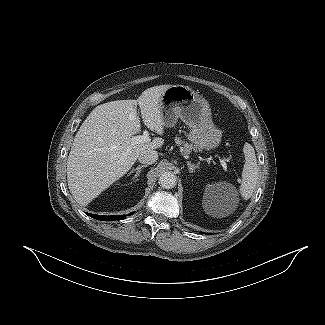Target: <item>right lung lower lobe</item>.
Wrapping results in <instances>:
<instances>
[{"instance_id":"98d812e1","label":"right lung lower lobe","mask_w":325,"mask_h":325,"mask_svg":"<svg viewBox=\"0 0 325 325\" xmlns=\"http://www.w3.org/2000/svg\"><path fill=\"white\" fill-rule=\"evenodd\" d=\"M132 214L133 213H130L128 215H132ZM87 215H91V217H93L95 219L102 220V221H115V220H123V219L126 218V215H120V216H103V215H95V214H89V213H87Z\"/></svg>"}]
</instances>
